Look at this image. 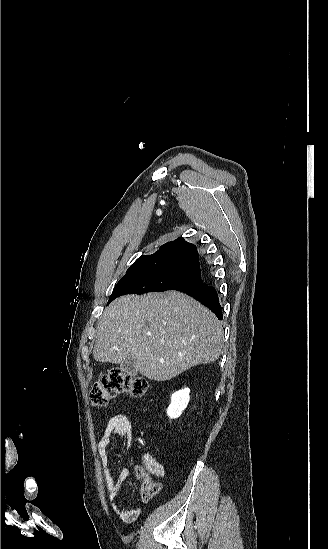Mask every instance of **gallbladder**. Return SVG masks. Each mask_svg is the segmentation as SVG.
Instances as JSON below:
<instances>
[{
	"instance_id": "gallbladder-1",
	"label": "gallbladder",
	"mask_w": 328,
	"mask_h": 549,
	"mask_svg": "<svg viewBox=\"0 0 328 549\" xmlns=\"http://www.w3.org/2000/svg\"><path fill=\"white\" fill-rule=\"evenodd\" d=\"M120 369L121 371H124V373H127L129 377H136L138 369L136 359H134L133 355H129L126 361H122V363H120Z\"/></svg>"
}]
</instances>
